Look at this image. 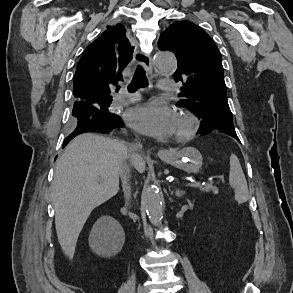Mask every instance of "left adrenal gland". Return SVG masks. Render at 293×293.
Wrapping results in <instances>:
<instances>
[{
  "instance_id": "1",
  "label": "left adrenal gland",
  "mask_w": 293,
  "mask_h": 293,
  "mask_svg": "<svg viewBox=\"0 0 293 293\" xmlns=\"http://www.w3.org/2000/svg\"><path fill=\"white\" fill-rule=\"evenodd\" d=\"M170 190V189H169ZM170 192H171V194L173 195V191H171L170 190ZM185 194V192L184 191H182V190H176L175 191V196H177V197H182L183 195Z\"/></svg>"
}]
</instances>
